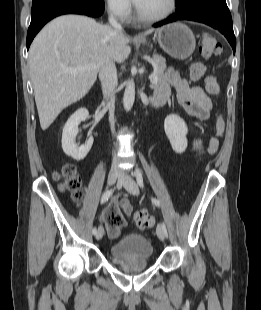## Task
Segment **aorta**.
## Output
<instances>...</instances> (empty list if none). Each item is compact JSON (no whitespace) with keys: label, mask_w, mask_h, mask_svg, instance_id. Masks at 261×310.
Instances as JSON below:
<instances>
[{"label":"aorta","mask_w":261,"mask_h":310,"mask_svg":"<svg viewBox=\"0 0 261 310\" xmlns=\"http://www.w3.org/2000/svg\"><path fill=\"white\" fill-rule=\"evenodd\" d=\"M135 100V84L133 79L126 81V88L123 97V106L126 111H130Z\"/></svg>","instance_id":"762f6f07"}]
</instances>
